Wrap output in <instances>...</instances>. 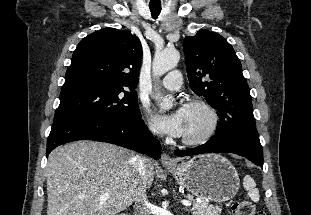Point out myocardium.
<instances>
[{
    "label": "myocardium",
    "instance_id": "f54148a6",
    "mask_svg": "<svg viewBox=\"0 0 311 215\" xmlns=\"http://www.w3.org/2000/svg\"><path fill=\"white\" fill-rule=\"evenodd\" d=\"M183 107L202 109L208 115L209 123L206 130L200 136L194 138L182 137V143L188 146H199L206 143L217 130L219 124V116L217 111L208 102L201 99L189 100Z\"/></svg>",
    "mask_w": 311,
    "mask_h": 215
}]
</instances>
